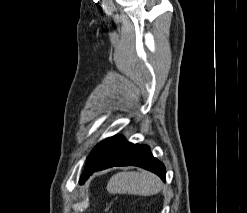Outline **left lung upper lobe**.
<instances>
[{
    "label": "left lung upper lobe",
    "mask_w": 247,
    "mask_h": 213,
    "mask_svg": "<svg viewBox=\"0 0 247 213\" xmlns=\"http://www.w3.org/2000/svg\"><path fill=\"white\" fill-rule=\"evenodd\" d=\"M82 183V179H80V184Z\"/></svg>",
    "instance_id": "1"
}]
</instances>
